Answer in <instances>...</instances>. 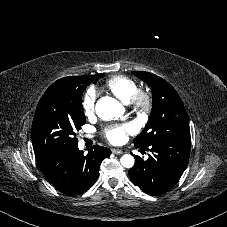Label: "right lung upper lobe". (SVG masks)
<instances>
[{"label": "right lung upper lobe", "instance_id": "1", "mask_svg": "<svg viewBox=\"0 0 227 227\" xmlns=\"http://www.w3.org/2000/svg\"><path fill=\"white\" fill-rule=\"evenodd\" d=\"M80 76H70V77H64L56 82H54L50 87H57V86H64V85H70L76 82H79Z\"/></svg>", "mask_w": 227, "mask_h": 227}]
</instances>
